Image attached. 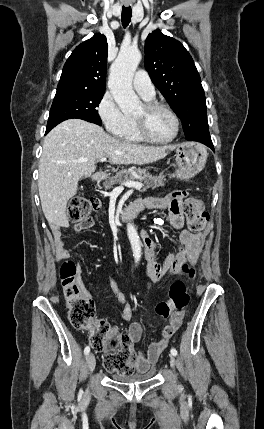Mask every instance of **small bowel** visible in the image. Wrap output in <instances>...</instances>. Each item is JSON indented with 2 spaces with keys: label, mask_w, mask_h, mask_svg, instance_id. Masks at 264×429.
Instances as JSON below:
<instances>
[{
  "label": "small bowel",
  "mask_w": 264,
  "mask_h": 429,
  "mask_svg": "<svg viewBox=\"0 0 264 429\" xmlns=\"http://www.w3.org/2000/svg\"><path fill=\"white\" fill-rule=\"evenodd\" d=\"M188 197V192L184 190H176L169 193L166 197H148L136 201L134 204H142L145 209L149 210H168L169 224L175 229L183 227L184 218L182 214V205ZM96 224L95 218H87L73 225L76 232L90 229ZM142 240L145 245L146 266L145 274L150 281L154 283H162L167 281L173 275L179 273L181 264L190 258L191 254L195 253L200 245L201 237L199 234L192 233L186 229H182L180 233V247L176 253L170 254L161 263L157 257V244L149 236L147 232H142ZM54 245L59 258H67L69 253L65 248L62 233L60 228L53 230ZM77 281L86 295H90L89 290L85 287L81 270L78 269ZM113 290L117 293L121 306V318L124 322H130L133 316L132 306L126 302L122 293L112 283ZM183 319V314H173L170 324L166 326L162 332L161 339L153 342L148 346L146 352H139L135 356L133 370L139 373H145L155 364L162 351L168 346L169 340L176 330L180 327ZM133 342L138 341L142 334V325L140 323H132L127 331Z\"/></svg>",
  "instance_id": "obj_1"
}]
</instances>
